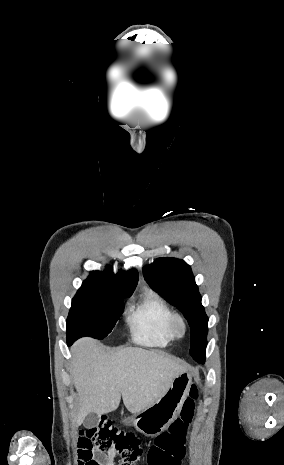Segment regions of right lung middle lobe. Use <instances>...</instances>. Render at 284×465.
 Returning <instances> with one entry per match:
<instances>
[{
    "instance_id": "right-lung-middle-lobe-1",
    "label": "right lung middle lobe",
    "mask_w": 284,
    "mask_h": 465,
    "mask_svg": "<svg viewBox=\"0 0 284 465\" xmlns=\"http://www.w3.org/2000/svg\"><path fill=\"white\" fill-rule=\"evenodd\" d=\"M130 296L82 285L72 299L66 320L67 339L75 341L83 336L105 338L123 312V298Z\"/></svg>"
}]
</instances>
